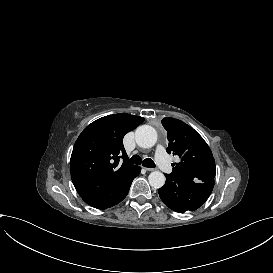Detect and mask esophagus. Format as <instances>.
<instances>
[{
  "label": "esophagus",
  "mask_w": 273,
  "mask_h": 273,
  "mask_svg": "<svg viewBox=\"0 0 273 273\" xmlns=\"http://www.w3.org/2000/svg\"><path fill=\"white\" fill-rule=\"evenodd\" d=\"M145 170H146V171H154L155 168H146V167H145Z\"/></svg>",
  "instance_id": "1"
}]
</instances>
